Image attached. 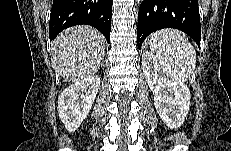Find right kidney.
<instances>
[{
    "mask_svg": "<svg viewBox=\"0 0 231 151\" xmlns=\"http://www.w3.org/2000/svg\"><path fill=\"white\" fill-rule=\"evenodd\" d=\"M99 86L100 77L92 75L74 82L60 95L59 117L69 132L75 131L90 112Z\"/></svg>",
    "mask_w": 231,
    "mask_h": 151,
    "instance_id": "1",
    "label": "right kidney"
}]
</instances>
